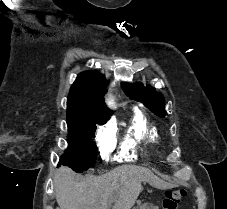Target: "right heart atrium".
Returning a JSON list of instances; mask_svg holds the SVG:
<instances>
[{
  "label": "right heart atrium",
  "instance_id": "1",
  "mask_svg": "<svg viewBox=\"0 0 227 209\" xmlns=\"http://www.w3.org/2000/svg\"><path fill=\"white\" fill-rule=\"evenodd\" d=\"M96 142L103 158H107L117 142V132L113 124H105L98 128Z\"/></svg>",
  "mask_w": 227,
  "mask_h": 209
}]
</instances>
